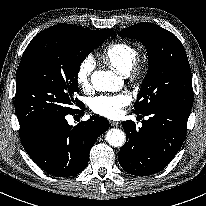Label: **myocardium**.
<instances>
[{"label": "myocardium", "instance_id": "1", "mask_svg": "<svg viewBox=\"0 0 206 206\" xmlns=\"http://www.w3.org/2000/svg\"><path fill=\"white\" fill-rule=\"evenodd\" d=\"M148 63L145 59L136 58L131 69L133 77L138 79L143 76L147 70Z\"/></svg>", "mask_w": 206, "mask_h": 206}]
</instances>
